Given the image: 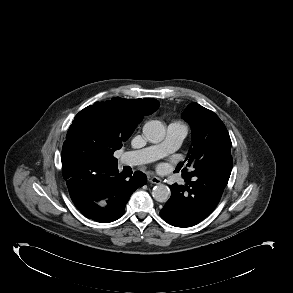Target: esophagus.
<instances>
[{
    "instance_id": "1",
    "label": "esophagus",
    "mask_w": 293,
    "mask_h": 293,
    "mask_svg": "<svg viewBox=\"0 0 293 293\" xmlns=\"http://www.w3.org/2000/svg\"><path fill=\"white\" fill-rule=\"evenodd\" d=\"M148 181L153 184H160L161 179L155 176H148Z\"/></svg>"
}]
</instances>
